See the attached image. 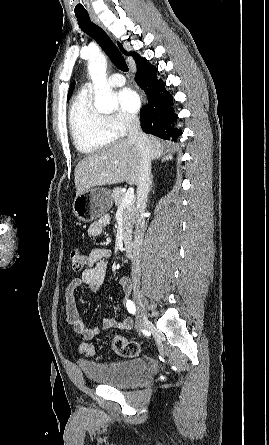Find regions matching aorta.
I'll use <instances>...</instances> for the list:
<instances>
[{
  "mask_svg": "<svg viewBox=\"0 0 269 445\" xmlns=\"http://www.w3.org/2000/svg\"><path fill=\"white\" fill-rule=\"evenodd\" d=\"M106 67L107 62L104 55L95 54L90 56L88 71L94 84V106L100 112L109 113L118 107V101L108 85Z\"/></svg>",
  "mask_w": 269,
  "mask_h": 445,
  "instance_id": "aorta-1",
  "label": "aorta"
}]
</instances>
